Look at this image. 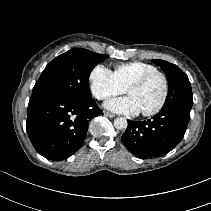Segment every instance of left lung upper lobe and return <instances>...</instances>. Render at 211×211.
Here are the masks:
<instances>
[{"label": "left lung upper lobe", "mask_w": 211, "mask_h": 211, "mask_svg": "<svg viewBox=\"0 0 211 211\" xmlns=\"http://www.w3.org/2000/svg\"><path fill=\"white\" fill-rule=\"evenodd\" d=\"M152 62L163 69L169 83L168 96L163 107L179 105L191 109L193 96L187 75L178 66L167 61L152 60Z\"/></svg>", "instance_id": "obj_1"}]
</instances>
